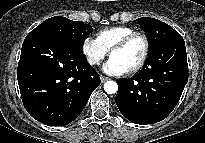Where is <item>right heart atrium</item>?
I'll return each mask as SVG.
<instances>
[{"instance_id": "1", "label": "right heart atrium", "mask_w": 205, "mask_h": 143, "mask_svg": "<svg viewBox=\"0 0 205 143\" xmlns=\"http://www.w3.org/2000/svg\"><path fill=\"white\" fill-rule=\"evenodd\" d=\"M82 52L87 62L92 65H98L108 54V50L95 38L86 37L82 43Z\"/></svg>"}]
</instances>
